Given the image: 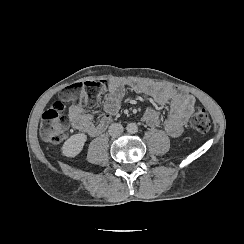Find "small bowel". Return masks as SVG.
<instances>
[{
    "label": "small bowel",
    "mask_w": 244,
    "mask_h": 244,
    "mask_svg": "<svg viewBox=\"0 0 244 244\" xmlns=\"http://www.w3.org/2000/svg\"><path fill=\"white\" fill-rule=\"evenodd\" d=\"M127 90L141 95L151 102L142 115V121L151 127L161 124L165 132L172 138L182 135L184 126L195 110V97L189 92L143 80H113L109 81L107 92L102 97L103 115L94 122L92 113L87 112L81 103L69 108V118L73 127L87 136L102 134L113 115L118 110L120 102ZM168 104V116L162 123L159 108Z\"/></svg>",
    "instance_id": "c3829d8e"
}]
</instances>
